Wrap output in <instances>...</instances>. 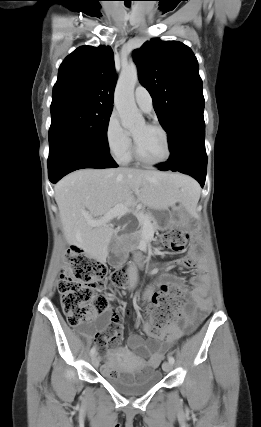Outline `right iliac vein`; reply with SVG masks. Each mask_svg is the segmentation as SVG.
Instances as JSON below:
<instances>
[{
    "instance_id": "obj_1",
    "label": "right iliac vein",
    "mask_w": 261,
    "mask_h": 427,
    "mask_svg": "<svg viewBox=\"0 0 261 427\" xmlns=\"http://www.w3.org/2000/svg\"><path fill=\"white\" fill-rule=\"evenodd\" d=\"M91 362L93 364V366L98 367L99 366V359L96 355H93L91 358Z\"/></svg>"
}]
</instances>
